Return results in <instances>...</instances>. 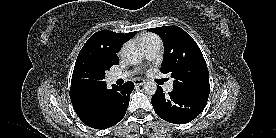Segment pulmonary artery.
Returning a JSON list of instances; mask_svg holds the SVG:
<instances>
[{"label": "pulmonary artery", "instance_id": "pulmonary-artery-1", "mask_svg": "<svg viewBox=\"0 0 276 138\" xmlns=\"http://www.w3.org/2000/svg\"><path fill=\"white\" fill-rule=\"evenodd\" d=\"M161 49V42H153L144 47L145 50V55L148 59H154L158 55L159 51ZM131 73L129 72H116L111 74L110 79L112 81L118 80V79H125L129 77ZM173 90V82H169L165 86V91L166 92H171Z\"/></svg>", "mask_w": 276, "mask_h": 138}]
</instances>
